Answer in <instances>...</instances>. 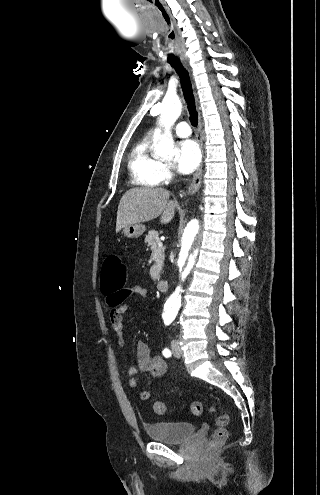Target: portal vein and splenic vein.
<instances>
[{
    "instance_id": "portal-vein-and-splenic-vein-1",
    "label": "portal vein and splenic vein",
    "mask_w": 320,
    "mask_h": 495,
    "mask_svg": "<svg viewBox=\"0 0 320 495\" xmlns=\"http://www.w3.org/2000/svg\"><path fill=\"white\" fill-rule=\"evenodd\" d=\"M158 246H159V247H162V246H163L162 242H159V243H158ZM154 251H155V252H157V251H159V249H155Z\"/></svg>"
}]
</instances>
